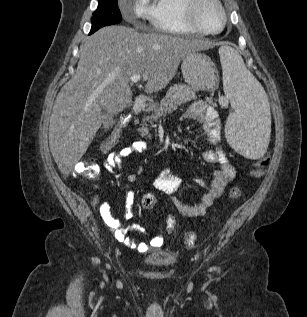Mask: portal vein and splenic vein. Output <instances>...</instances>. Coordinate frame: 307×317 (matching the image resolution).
<instances>
[{"instance_id": "1", "label": "portal vein and splenic vein", "mask_w": 307, "mask_h": 317, "mask_svg": "<svg viewBox=\"0 0 307 317\" xmlns=\"http://www.w3.org/2000/svg\"><path fill=\"white\" fill-rule=\"evenodd\" d=\"M141 80V75L140 74H135L133 76H131L130 81L132 83H137Z\"/></svg>"}]
</instances>
